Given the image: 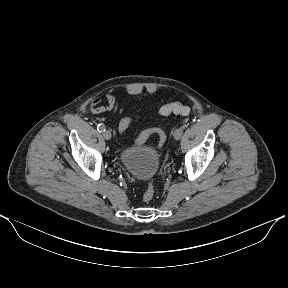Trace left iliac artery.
<instances>
[{"mask_svg":"<svg viewBox=\"0 0 288 288\" xmlns=\"http://www.w3.org/2000/svg\"><path fill=\"white\" fill-rule=\"evenodd\" d=\"M179 130L182 132L184 130V125H179Z\"/></svg>","mask_w":288,"mask_h":288,"instance_id":"1","label":"left iliac artery"}]
</instances>
